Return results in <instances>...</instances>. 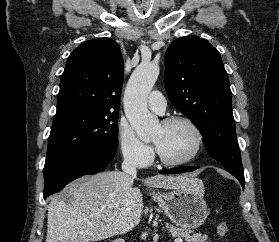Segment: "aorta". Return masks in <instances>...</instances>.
<instances>
[{
	"instance_id": "762f6f07",
	"label": "aorta",
	"mask_w": 279,
	"mask_h": 242,
	"mask_svg": "<svg viewBox=\"0 0 279 242\" xmlns=\"http://www.w3.org/2000/svg\"><path fill=\"white\" fill-rule=\"evenodd\" d=\"M159 67L154 63H141L132 73L124 93V111L130 125L142 141H149L158 128V118L147 108V96L152 90Z\"/></svg>"
}]
</instances>
